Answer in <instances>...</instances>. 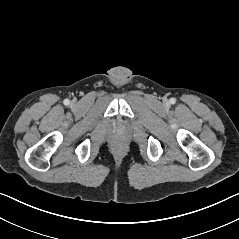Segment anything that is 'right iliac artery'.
Returning <instances> with one entry per match:
<instances>
[{
	"instance_id": "right-iliac-artery-1",
	"label": "right iliac artery",
	"mask_w": 239,
	"mask_h": 239,
	"mask_svg": "<svg viewBox=\"0 0 239 239\" xmlns=\"http://www.w3.org/2000/svg\"><path fill=\"white\" fill-rule=\"evenodd\" d=\"M69 103H70L69 99H65V100H64V104H65V105H69Z\"/></svg>"
}]
</instances>
